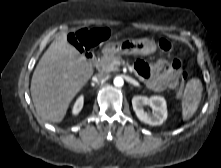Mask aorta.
<instances>
[{"label":"aorta","instance_id":"1","mask_svg":"<svg viewBox=\"0 0 221 168\" xmlns=\"http://www.w3.org/2000/svg\"><path fill=\"white\" fill-rule=\"evenodd\" d=\"M123 84H124V81H123V79L121 78V77H115V79H114V85L116 86V87H121V86H123Z\"/></svg>","mask_w":221,"mask_h":168}]
</instances>
